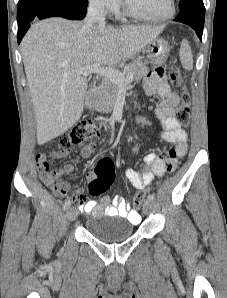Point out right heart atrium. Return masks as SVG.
<instances>
[{"instance_id":"d8ad5b80","label":"right heart atrium","mask_w":227,"mask_h":298,"mask_svg":"<svg viewBox=\"0 0 227 298\" xmlns=\"http://www.w3.org/2000/svg\"><path fill=\"white\" fill-rule=\"evenodd\" d=\"M89 2L94 8L106 13L115 12L119 8L118 0H89Z\"/></svg>"}]
</instances>
